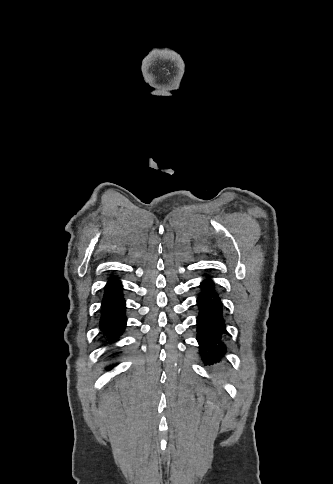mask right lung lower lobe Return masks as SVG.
I'll return each instance as SVG.
<instances>
[{"label": "right lung lower lobe", "instance_id": "1", "mask_svg": "<svg viewBox=\"0 0 333 484\" xmlns=\"http://www.w3.org/2000/svg\"><path fill=\"white\" fill-rule=\"evenodd\" d=\"M125 308V300L122 296V285L117 279L112 277L105 287L100 320V329L111 341H116L117 337L125 329Z\"/></svg>", "mask_w": 333, "mask_h": 484}]
</instances>
